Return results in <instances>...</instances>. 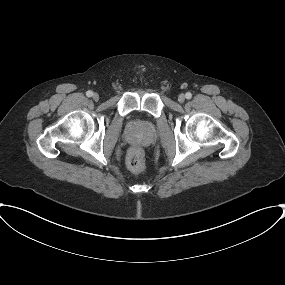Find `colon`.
<instances>
[{"mask_svg":"<svg viewBox=\"0 0 285 285\" xmlns=\"http://www.w3.org/2000/svg\"><path fill=\"white\" fill-rule=\"evenodd\" d=\"M127 164L131 171L141 173L145 170V161L139 149H133L128 155Z\"/></svg>","mask_w":285,"mask_h":285,"instance_id":"colon-1","label":"colon"}]
</instances>
